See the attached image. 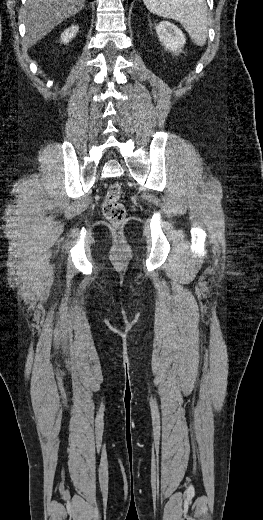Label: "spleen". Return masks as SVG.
Segmentation results:
<instances>
[{"mask_svg": "<svg viewBox=\"0 0 263 520\" xmlns=\"http://www.w3.org/2000/svg\"><path fill=\"white\" fill-rule=\"evenodd\" d=\"M147 9L164 18L178 21L197 46H204L208 36L205 0H143Z\"/></svg>", "mask_w": 263, "mask_h": 520, "instance_id": "obj_1", "label": "spleen"}]
</instances>
